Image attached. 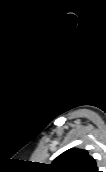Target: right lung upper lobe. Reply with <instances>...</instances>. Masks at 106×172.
<instances>
[{
	"label": "right lung upper lobe",
	"instance_id": "cb5924a9",
	"mask_svg": "<svg viewBox=\"0 0 106 172\" xmlns=\"http://www.w3.org/2000/svg\"><path fill=\"white\" fill-rule=\"evenodd\" d=\"M51 172H98L95 160L86 150L71 148L48 167Z\"/></svg>",
	"mask_w": 106,
	"mask_h": 172
}]
</instances>
